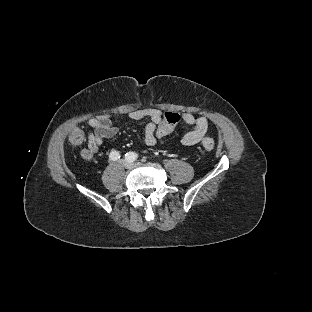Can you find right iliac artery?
Segmentation results:
<instances>
[{
	"label": "right iliac artery",
	"instance_id": "obj_1",
	"mask_svg": "<svg viewBox=\"0 0 312 312\" xmlns=\"http://www.w3.org/2000/svg\"><path fill=\"white\" fill-rule=\"evenodd\" d=\"M109 157H110L112 160H117V159L120 158V154H119L117 151L113 150V151L110 153V156H109ZM125 157H126L127 160H130V161H132V162L135 160V158H133L132 156L125 155Z\"/></svg>",
	"mask_w": 312,
	"mask_h": 312
}]
</instances>
